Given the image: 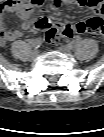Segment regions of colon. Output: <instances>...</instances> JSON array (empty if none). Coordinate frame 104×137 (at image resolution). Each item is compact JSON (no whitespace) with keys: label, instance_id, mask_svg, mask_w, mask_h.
<instances>
[{"label":"colon","instance_id":"5ec220e1","mask_svg":"<svg viewBox=\"0 0 104 137\" xmlns=\"http://www.w3.org/2000/svg\"><path fill=\"white\" fill-rule=\"evenodd\" d=\"M38 29L45 30V40L50 44H58L64 37H72L78 31L68 26H56L46 24L41 20L37 24ZM84 32L92 33L94 36L100 35L103 31V20L100 17H93L87 22ZM6 33L3 32L1 39H4Z\"/></svg>","mask_w":104,"mask_h":137}]
</instances>
